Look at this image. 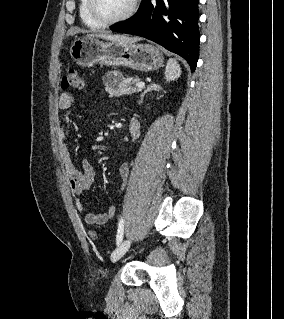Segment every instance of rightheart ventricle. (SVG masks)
<instances>
[{"mask_svg":"<svg viewBox=\"0 0 284 319\" xmlns=\"http://www.w3.org/2000/svg\"><path fill=\"white\" fill-rule=\"evenodd\" d=\"M78 11H79V17H80L82 23L86 27H88L92 30H97V29H101L104 27V25L97 22L91 16L89 9H88V0H79Z\"/></svg>","mask_w":284,"mask_h":319,"instance_id":"e07e8e85","label":"right heart ventricle"}]
</instances>
